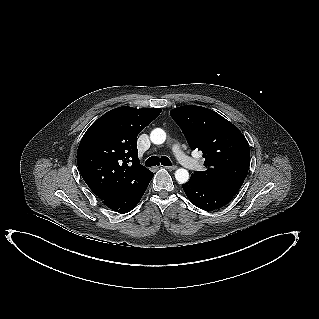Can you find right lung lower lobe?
<instances>
[{
    "mask_svg": "<svg viewBox=\"0 0 319 319\" xmlns=\"http://www.w3.org/2000/svg\"><path fill=\"white\" fill-rule=\"evenodd\" d=\"M152 178L153 173L148 170L135 182L130 183L123 189L116 192L113 196L103 200V203L108 208L118 213H127L131 211L142 198Z\"/></svg>",
    "mask_w": 319,
    "mask_h": 319,
    "instance_id": "1",
    "label": "right lung lower lobe"
}]
</instances>
